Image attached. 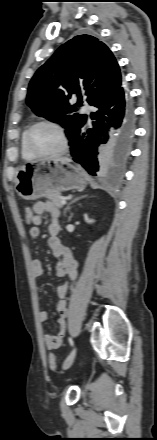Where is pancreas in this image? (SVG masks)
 <instances>
[{"label":"pancreas","instance_id":"obj_1","mask_svg":"<svg viewBox=\"0 0 157 440\" xmlns=\"http://www.w3.org/2000/svg\"><path fill=\"white\" fill-rule=\"evenodd\" d=\"M47 198L51 201L53 206L62 208L63 204H61V200L63 199V196L61 194L48 195Z\"/></svg>","mask_w":157,"mask_h":440}]
</instances>
